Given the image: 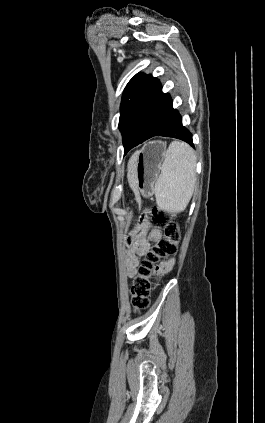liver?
<instances>
[{"instance_id": "1", "label": "liver", "mask_w": 265, "mask_h": 423, "mask_svg": "<svg viewBox=\"0 0 265 423\" xmlns=\"http://www.w3.org/2000/svg\"><path fill=\"white\" fill-rule=\"evenodd\" d=\"M134 173H135V162L132 157L131 160L129 161V166H128V179L130 182L133 181Z\"/></svg>"}]
</instances>
